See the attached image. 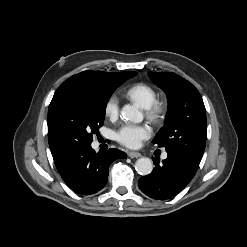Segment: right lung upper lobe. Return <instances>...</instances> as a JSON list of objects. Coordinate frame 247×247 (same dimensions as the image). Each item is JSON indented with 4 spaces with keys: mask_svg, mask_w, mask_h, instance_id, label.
I'll list each match as a JSON object with an SVG mask.
<instances>
[{
    "mask_svg": "<svg viewBox=\"0 0 247 247\" xmlns=\"http://www.w3.org/2000/svg\"><path fill=\"white\" fill-rule=\"evenodd\" d=\"M129 73L130 72L108 73L102 71H84L68 78L62 85H88L96 88H105L116 85ZM49 146L54 160L68 152L60 148L51 138H49Z\"/></svg>",
    "mask_w": 247,
    "mask_h": 247,
    "instance_id": "right-lung-upper-lobe-1",
    "label": "right lung upper lobe"
}]
</instances>
